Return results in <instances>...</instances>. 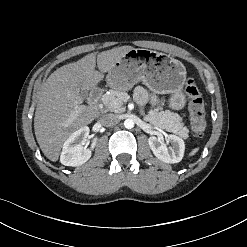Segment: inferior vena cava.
Segmentation results:
<instances>
[{
  "label": "inferior vena cava",
  "mask_w": 247,
  "mask_h": 247,
  "mask_svg": "<svg viewBox=\"0 0 247 247\" xmlns=\"http://www.w3.org/2000/svg\"><path fill=\"white\" fill-rule=\"evenodd\" d=\"M100 122L103 126H112L119 122L118 115L115 114H105L100 118Z\"/></svg>",
  "instance_id": "obj_1"
}]
</instances>
